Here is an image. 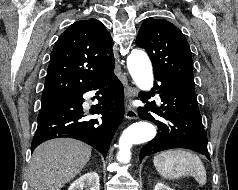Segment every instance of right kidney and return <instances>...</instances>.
<instances>
[{
	"label": "right kidney",
	"instance_id": "ca27d5eb",
	"mask_svg": "<svg viewBox=\"0 0 238 190\" xmlns=\"http://www.w3.org/2000/svg\"><path fill=\"white\" fill-rule=\"evenodd\" d=\"M99 176L96 172L90 171L75 180L68 190H100Z\"/></svg>",
	"mask_w": 238,
	"mask_h": 190
}]
</instances>
